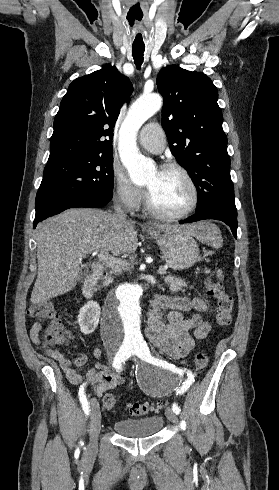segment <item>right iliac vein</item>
I'll use <instances>...</instances> for the list:
<instances>
[{
  "instance_id": "obj_1",
  "label": "right iliac vein",
  "mask_w": 279,
  "mask_h": 490,
  "mask_svg": "<svg viewBox=\"0 0 279 490\" xmlns=\"http://www.w3.org/2000/svg\"><path fill=\"white\" fill-rule=\"evenodd\" d=\"M90 442L87 457L97 452V438L101 429V413L98 401L91 398L90 401Z\"/></svg>"
}]
</instances>
